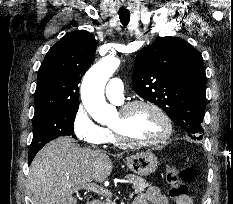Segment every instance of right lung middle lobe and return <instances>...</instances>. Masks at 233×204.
I'll return each mask as SVG.
<instances>
[{
  "instance_id": "right-lung-middle-lobe-1",
  "label": "right lung middle lobe",
  "mask_w": 233,
  "mask_h": 204,
  "mask_svg": "<svg viewBox=\"0 0 233 204\" xmlns=\"http://www.w3.org/2000/svg\"><path fill=\"white\" fill-rule=\"evenodd\" d=\"M79 106L59 107L35 112L33 117L32 148L43 147L49 141L59 137L72 135L74 120Z\"/></svg>"
}]
</instances>
